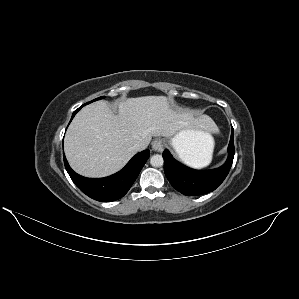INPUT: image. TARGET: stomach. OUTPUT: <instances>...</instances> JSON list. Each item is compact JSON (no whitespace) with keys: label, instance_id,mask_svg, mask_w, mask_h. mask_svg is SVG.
I'll use <instances>...</instances> for the list:
<instances>
[{"label":"stomach","instance_id":"0dacf381","mask_svg":"<svg viewBox=\"0 0 299 299\" xmlns=\"http://www.w3.org/2000/svg\"><path fill=\"white\" fill-rule=\"evenodd\" d=\"M170 144L180 156L187 158V161L201 159L205 153H212L214 147V141L209 139L207 132L187 127L181 128L172 136Z\"/></svg>","mask_w":299,"mask_h":299}]
</instances>
